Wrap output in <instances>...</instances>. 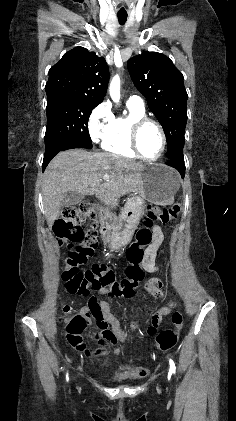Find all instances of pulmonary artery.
<instances>
[{"label":"pulmonary artery","mask_w":236,"mask_h":421,"mask_svg":"<svg viewBox=\"0 0 236 421\" xmlns=\"http://www.w3.org/2000/svg\"><path fill=\"white\" fill-rule=\"evenodd\" d=\"M128 102L144 106V101L142 100L141 97H138V96H130L128 98Z\"/></svg>","instance_id":"1"}]
</instances>
